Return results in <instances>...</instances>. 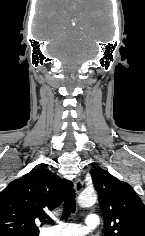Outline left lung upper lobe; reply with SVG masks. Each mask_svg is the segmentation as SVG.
<instances>
[{"instance_id": "5c2ea615", "label": "left lung upper lobe", "mask_w": 145, "mask_h": 236, "mask_svg": "<svg viewBox=\"0 0 145 236\" xmlns=\"http://www.w3.org/2000/svg\"><path fill=\"white\" fill-rule=\"evenodd\" d=\"M90 174L105 220V236H145V205L132 187L102 168Z\"/></svg>"}]
</instances>
